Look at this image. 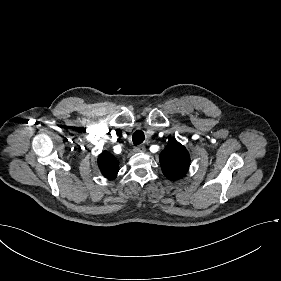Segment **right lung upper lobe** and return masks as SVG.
I'll list each match as a JSON object with an SVG mask.
<instances>
[{"instance_id":"right-lung-upper-lobe-1","label":"right lung upper lobe","mask_w":281,"mask_h":281,"mask_svg":"<svg viewBox=\"0 0 281 281\" xmlns=\"http://www.w3.org/2000/svg\"><path fill=\"white\" fill-rule=\"evenodd\" d=\"M98 166L104 177L115 179L119 170L118 160L108 151L102 152L98 157Z\"/></svg>"}]
</instances>
